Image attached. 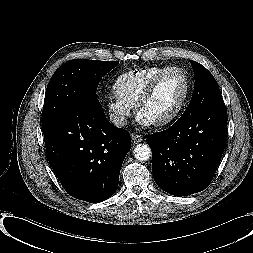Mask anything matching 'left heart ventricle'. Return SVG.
<instances>
[{"label": "left heart ventricle", "mask_w": 253, "mask_h": 253, "mask_svg": "<svg viewBox=\"0 0 253 253\" xmlns=\"http://www.w3.org/2000/svg\"><path fill=\"white\" fill-rule=\"evenodd\" d=\"M185 89V82L178 72L168 74L157 87L152 99L143 108L141 118L156 121L170 114L179 103Z\"/></svg>", "instance_id": "1"}]
</instances>
